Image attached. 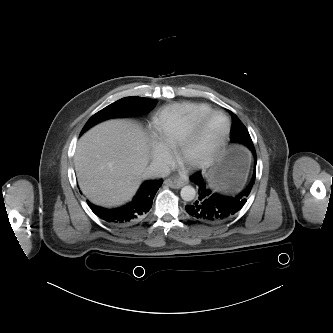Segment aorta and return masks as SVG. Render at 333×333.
I'll return each mask as SVG.
<instances>
[{
  "label": "aorta",
  "instance_id": "762f6f07",
  "mask_svg": "<svg viewBox=\"0 0 333 333\" xmlns=\"http://www.w3.org/2000/svg\"><path fill=\"white\" fill-rule=\"evenodd\" d=\"M180 195L184 201H192L195 198L196 191L192 186L187 185L181 189Z\"/></svg>",
  "mask_w": 333,
  "mask_h": 333
}]
</instances>
